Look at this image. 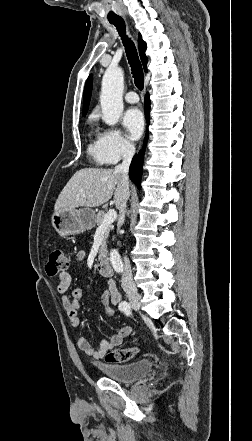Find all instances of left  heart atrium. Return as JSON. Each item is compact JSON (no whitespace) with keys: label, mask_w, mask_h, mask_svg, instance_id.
I'll return each mask as SVG.
<instances>
[{"label":"left heart atrium","mask_w":252,"mask_h":441,"mask_svg":"<svg viewBox=\"0 0 252 441\" xmlns=\"http://www.w3.org/2000/svg\"><path fill=\"white\" fill-rule=\"evenodd\" d=\"M123 125L131 140H137L144 129V118L140 110L132 108L128 110L122 119Z\"/></svg>","instance_id":"obj_1"}]
</instances>
